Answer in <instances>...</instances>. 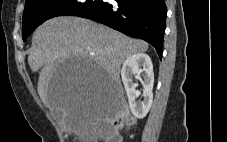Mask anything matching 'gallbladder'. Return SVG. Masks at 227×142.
I'll list each match as a JSON object with an SVG mask.
<instances>
[{"instance_id": "obj_1", "label": "gallbladder", "mask_w": 227, "mask_h": 142, "mask_svg": "<svg viewBox=\"0 0 227 142\" xmlns=\"http://www.w3.org/2000/svg\"><path fill=\"white\" fill-rule=\"evenodd\" d=\"M54 116H55L57 119H61V113L54 112Z\"/></svg>"}]
</instances>
